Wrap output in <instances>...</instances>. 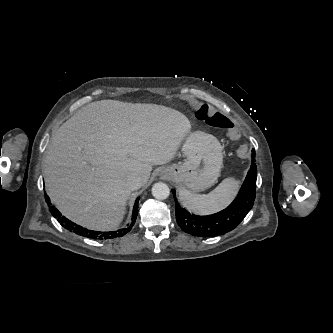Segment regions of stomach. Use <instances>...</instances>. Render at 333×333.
Listing matches in <instances>:
<instances>
[{
    "instance_id": "obj_1",
    "label": "stomach",
    "mask_w": 333,
    "mask_h": 333,
    "mask_svg": "<svg viewBox=\"0 0 333 333\" xmlns=\"http://www.w3.org/2000/svg\"><path fill=\"white\" fill-rule=\"evenodd\" d=\"M182 152L185 162L164 167L161 174L194 193L211 187L220 175L223 162L222 146L217 138L196 131L187 136Z\"/></svg>"
}]
</instances>
